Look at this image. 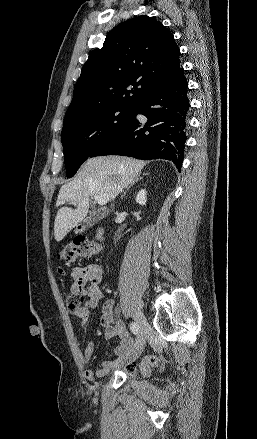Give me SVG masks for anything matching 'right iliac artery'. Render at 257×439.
<instances>
[{"label":"right iliac artery","mask_w":257,"mask_h":439,"mask_svg":"<svg viewBox=\"0 0 257 439\" xmlns=\"http://www.w3.org/2000/svg\"><path fill=\"white\" fill-rule=\"evenodd\" d=\"M130 330L134 335H138L139 333V325L136 322L130 323Z\"/></svg>","instance_id":"1"}]
</instances>
